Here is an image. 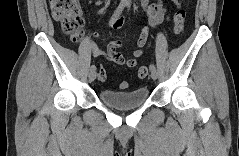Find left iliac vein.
<instances>
[{"instance_id":"left-iliac-vein-1","label":"left iliac vein","mask_w":239,"mask_h":156,"mask_svg":"<svg viewBox=\"0 0 239 156\" xmlns=\"http://www.w3.org/2000/svg\"><path fill=\"white\" fill-rule=\"evenodd\" d=\"M150 72H151V78L153 80H156L158 78V73L156 71V68L155 69H151Z\"/></svg>"}]
</instances>
